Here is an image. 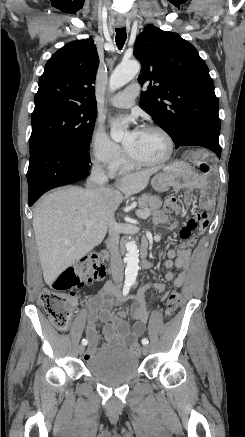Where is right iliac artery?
I'll list each match as a JSON object with an SVG mask.
<instances>
[{
  "instance_id": "obj_1",
  "label": "right iliac artery",
  "mask_w": 245,
  "mask_h": 437,
  "mask_svg": "<svg viewBox=\"0 0 245 437\" xmlns=\"http://www.w3.org/2000/svg\"><path fill=\"white\" fill-rule=\"evenodd\" d=\"M130 288H131V284L130 283H125L124 288H123V295L124 296H126L129 293ZM87 343H88L87 339H83L82 340V344L83 345H87Z\"/></svg>"
}]
</instances>
